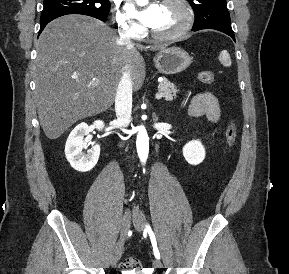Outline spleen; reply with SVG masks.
I'll return each mask as SVG.
<instances>
[{"label":"spleen","instance_id":"obj_1","mask_svg":"<svg viewBox=\"0 0 289 274\" xmlns=\"http://www.w3.org/2000/svg\"><path fill=\"white\" fill-rule=\"evenodd\" d=\"M220 61L226 67L231 66V59H230L229 53L227 51H222L221 52Z\"/></svg>","mask_w":289,"mask_h":274}]
</instances>
